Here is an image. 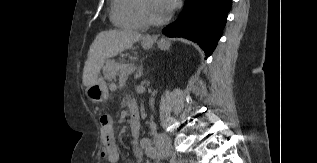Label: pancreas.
<instances>
[{
  "instance_id": "obj_1",
  "label": "pancreas",
  "mask_w": 317,
  "mask_h": 163,
  "mask_svg": "<svg viewBox=\"0 0 317 163\" xmlns=\"http://www.w3.org/2000/svg\"><path fill=\"white\" fill-rule=\"evenodd\" d=\"M129 64H124L121 62H116L115 60H108L103 68L104 78L108 81L116 79V77L123 71L131 68Z\"/></svg>"
}]
</instances>
